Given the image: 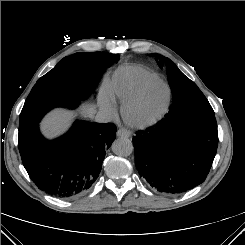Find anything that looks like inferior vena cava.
I'll list each match as a JSON object with an SVG mask.
<instances>
[{
    "mask_svg": "<svg viewBox=\"0 0 245 245\" xmlns=\"http://www.w3.org/2000/svg\"><path fill=\"white\" fill-rule=\"evenodd\" d=\"M111 120H112L111 114L104 112V111L97 112L95 116V121L99 123H108Z\"/></svg>",
    "mask_w": 245,
    "mask_h": 245,
    "instance_id": "1",
    "label": "inferior vena cava"
}]
</instances>
